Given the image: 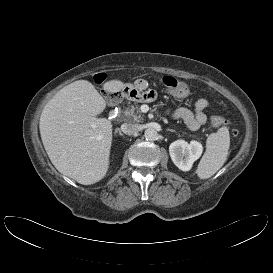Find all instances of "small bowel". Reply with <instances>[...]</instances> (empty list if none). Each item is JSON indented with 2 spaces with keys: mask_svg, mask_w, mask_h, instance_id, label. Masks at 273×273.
Wrapping results in <instances>:
<instances>
[{
  "mask_svg": "<svg viewBox=\"0 0 273 273\" xmlns=\"http://www.w3.org/2000/svg\"><path fill=\"white\" fill-rule=\"evenodd\" d=\"M209 103L206 99H199L195 103L194 110L186 107H180L172 112V116L175 119L184 121L186 126L193 131L198 130L200 127L206 124L208 118L205 113Z\"/></svg>",
  "mask_w": 273,
  "mask_h": 273,
  "instance_id": "1",
  "label": "small bowel"
}]
</instances>
